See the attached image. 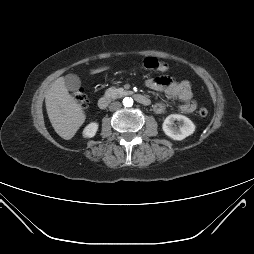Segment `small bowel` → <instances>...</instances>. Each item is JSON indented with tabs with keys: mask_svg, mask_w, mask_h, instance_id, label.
Listing matches in <instances>:
<instances>
[{
	"mask_svg": "<svg viewBox=\"0 0 254 254\" xmlns=\"http://www.w3.org/2000/svg\"><path fill=\"white\" fill-rule=\"evenodd\" d=\"M145 85L152 90L164 92L171 99L181 101L180 111L183 113H192L197 108V104L193 100L190 82L187 80L176 81L170 76H161L147 78ZM153 110L155 113L161 114L165 110V105L158 102L154 104Z\"/></svg>",
	"mask_w": 254,
	"mask_h": 254,
	"instance_id": "obj_1",
	"label": "small bowel"
}]
</instances>
